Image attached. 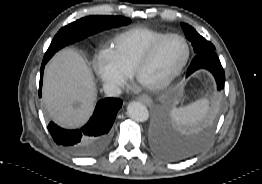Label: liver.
<instances>
[{
    "mask_svg": "<svg viewBox=\"0 0 262 184\" xmlns=\"http://www.w3.org/2000/svg\"><path fill=\"white\" fill-rule=\"evenodd\" d=\"M97 97L96 84L85 60L64 49L47 65L43 99L50 117L61 127L76 128L91 116Z\"/></svg>",
    "mask_w": 262,
    "mask_h": 184,
    "instance_id": "6515ba94",
    "label": "liver"
}]
</instances>
